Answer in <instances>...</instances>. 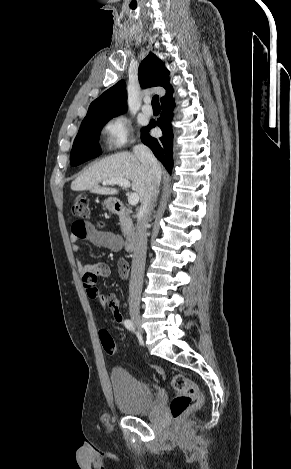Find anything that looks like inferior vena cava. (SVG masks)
Instances as JSON below:
<instances>
[{"label": "inferior vena cava", "mask_w": 291, "mask_h": 469, "mask_svg": "<svg viewBox=\"0 0 291 469\" xmlns=\"http://www.w3.org/2000/svg\"><path fill=\"white\" fill-rule=\"evenodd\" d=\"M133 152L144 165L149 181V188L141 202L138 214L136 240L129 281V305L138 307L140 304L146 261L147 226L159 193L158 189L161 181V172L156 158L147 146L138 144L133 147Z\"/></svg>", "instance_id": "1"}]
</instances>
